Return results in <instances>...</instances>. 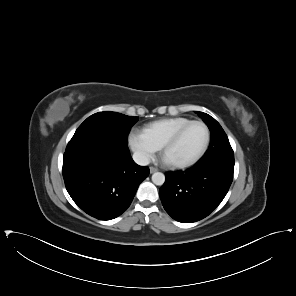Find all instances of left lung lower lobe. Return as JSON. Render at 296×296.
Returning a JSON list of instances; mask_svg holds the SVG:
<instances>
[{
	"label": "left lung lower lobe",
	"instance_id": "obj_1",
	"mask_svg": "<svg viewBox=\"0 0 296 296\" xmlns=\"http://www.w3.org/2000/svg\"><path fill=\"white\" fill-rule=\"evenodd\" d=\"M234 159L197 163L184 172H168L159 190L164 209L179 222L208 216L224 199L233 180Z\"/></svg>",
	"mask_w": 296,
	"mask_h": 296
}]
</instances>
